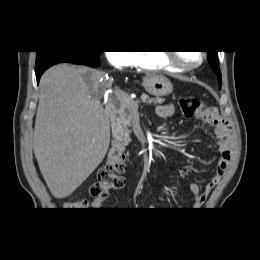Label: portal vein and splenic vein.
<instances>
[{"instance_id": "portal-vein-and-splenic-vein-1", "label": "portal vein and splenic vein", "mask_w": 260, "mask_h": 260, "mask_svg": "<svg viewBox=\"0 0 260 260\" xmlns=\"http://www.w3.org/2000/svg\"><path fill=\"white\" fill-rule=\"evenodd\" d=\"M115 96L122 101L123 103L130 106L133 110H137L139 107V104L137 102H134L131 100V98L128 96L127 93H125L122 90H115L114 91Z\"/></svg>"}]
</instances>
